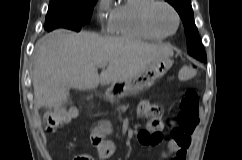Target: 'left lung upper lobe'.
Wrapping results in <instances>:
<instances>
[{
	"label": "left lung upper lobe",
	"instance_id": "left-lung-upper-lobe-1",
	"mask_svg": "<svg viewBox=\"0 0 242 160\" xmlns=\"http://www.w3.org/2000/svg\"><path fill=\"white\" fill-rule=\"evenodd\" d=\"M179 13L187 38V51L196 59L207 62L206 53L201 44L198 31L194 22L191 0H166Z\"/></svg>",
	"mask_w": 242,
	"mask_h": 160
}]
</instances>
